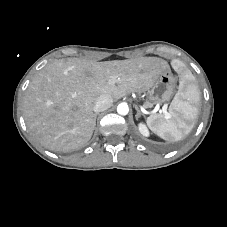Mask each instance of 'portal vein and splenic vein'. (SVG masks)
I'll return each instance as SVG.
<instances>
[{
	"instance_id": "obj_1",
	"label": "portal vein and splenic vein",
	"mask_w": 227,
	"mask_h": 227,
	"mask_svg": "<svg viewBox=\"0 0 227 227\" xmlns=\"http://www.w3.org/2000/svg\"><path fill=\"white\" fill-rule=\"evenodd\" d=\"M109 82H110L111 84H114V83H115V78H111ZM162 112H163L164 115L168 116L167 106H163Z\"/></svg>"
}]
</instances>
